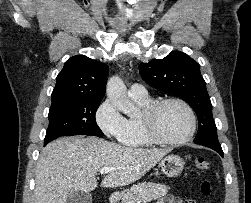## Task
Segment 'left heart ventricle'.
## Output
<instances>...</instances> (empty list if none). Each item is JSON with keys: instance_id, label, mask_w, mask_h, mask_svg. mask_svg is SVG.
<instances>
[{"instance_id": "left-heart-ventricle-1", "label": "left heart ventricle", "mask_w": 251, "mask_h": 203, "mask_svg": "<svg viewBox=\"0 0 251 203\" xmlns=\"http://www.w3.org/2000/svg\"><path fill=\"white\" fill-rule=\"evenodd\" d=\"M158 133L165 139L177 140L184 137L190 129V117L180 104L164 105L156 120Z\"/></svg>"}]
</instances>
